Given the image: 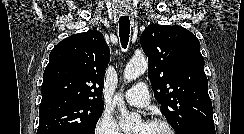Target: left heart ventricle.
I'll list each match as a JSON object with an SVG mask.
<instances>
[{
  "label": "left heart ventricle",
  "mask_w": 244,
  "mask_h": 134,
  "mask_svg": "<svg viewBox=\"0 0 244 134\" xmlns=\"http://www.w3.org/2000/svg\"><path fill=\"white\" fill-rule=\"evenodd\" d=\"M132 134H169V133L162 126L141 123L138 126H136Z\"/></svg>",
  "instance_id": "1"
}]
</instances>
